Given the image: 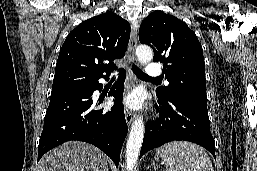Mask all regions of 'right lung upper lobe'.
<instances>
[{"mask_svg": "<svg viewBox=\"0 0 257 171\" xmlns=\"http://www.w3.org/2000/svg\"><path fill=\"white\" fill-rule=\"evenodd\" d=\"M129 38V23L113 12L82 22L62 45L52 89L107 78L116 68L113 60L124 56Z\"/></svg>", "mask_w": 257, "mask_h": 171, "instance_id": "cb5924a9", "label": "right lung upper lobe"}]
</instances>
